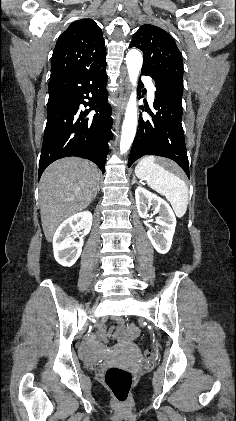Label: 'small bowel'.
Here are the masks:
<instances>
[{"mask_svg": "<svg viewBox=\"0 0 236 421\" xmlns=\"http://www.w3.org/2000/svg\"><path fill=\"white\" fill-rule=\"evenodd\" d=\"M130 330L132 331V333H136L137 329L134 326H130ZM96 343V342H95ZM97 344V343H96Z\"/></svg>", "mask_w": 236, "mask_h": 421, "instance_id": "1", "label": "small bowel"}]
</instances>
